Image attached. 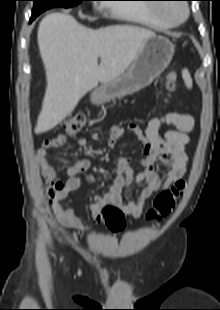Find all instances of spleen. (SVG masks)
<instances>
[{"instance_id": "spleen-1", "label": "spleen", "mask_w": 220, "mask_h": 310, "mask_svg": "<svg viewBox=\"0 0 220 310\" xmlns=\"http://www.w3.org/2000/svg\"><path fill=\"white\" fill-rule=\"evenodd\" d=\"M183 79L185 81V84L188 88H192V79H191V76L189 74V71L187 69H185L183 71Z\"/></svg>"}]
</instances>
